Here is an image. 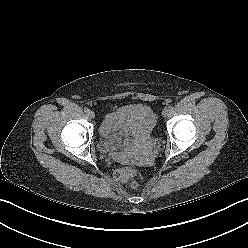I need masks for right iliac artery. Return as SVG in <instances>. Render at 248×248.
<instances>
[{"mask_svg":"<svg viewBox=\"0 0 248 248\" xmlns=\"http://www.w3.org/2000/svg\"><path fill=\"white\" fill-rule=\"evenodd\" d=\"M84 112L88 113L89 109L88 108H84Z\"/></svg>","mask_w":248,"mask_h":248,"instance_id":"obj_1","label":"right iliac artery"}]
</instances>
